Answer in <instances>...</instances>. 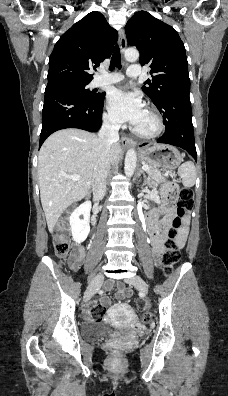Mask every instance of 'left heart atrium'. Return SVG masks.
<instances>
[{
    "mask_svg": "<svg viewBox=\"0 0 228 396\" xmlns=\"http://www.w3.org/2000/svg\"><path fill=\"white\" fill-rule=\"evenodd\" d=\"M107 108L117 122H128L136 126L144 112L140 95L126 89H113L107 97Z\"/></svg>",
    "mask_w": 228,
    "mask_h": 396,
    "instance_id": "obj_1",
    "label": "left heart atrium"
}]
</instances>
